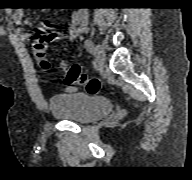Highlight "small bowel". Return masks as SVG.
Returning <instances> with one entry per match:
<instances>
[{
    "label": "small bowel",
    "instance_id": "small-bowel-1",
    "mask_svg": "<svg viewBox=\"0 0 192 180\" xmlns=\"http://www.w3.org/2000/svg\"><path fill=\"white\" fill-rule=\"evenodd\" d=\"M25 12L23 10H17L13 16L14 22L17 25H23L26 23L25 21ZM87 26V13L85 11H77L73 14L72 20L69 26V39L71 41H75L77 37L86 31ZM20 38L29 42L32 38V35L27 32H20ZM68 91L75 90L74 87L69 86L67 88Z\"/></svg>",
    "mask_w": 192,
    "mask_h": 180
}]
</instances>
